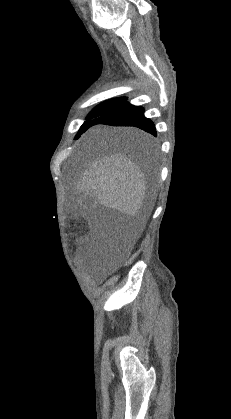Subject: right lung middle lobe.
I'll return each instance as SVG.
<instances>
[{
    "mask_svg": "<svg viewBox=\"0 0 231 419\" xmlns=\"http://www.w3.org/2000/svg\"><path fill=\"white\" fill-rule=\"evenodd\" d=\"M127 100L125 97L111 99L108 101L103 102L102 104L98 105L96 108H94L91 113L87 116V121L83 123L81 126L78 134L76 135L75 139L79 138L82 133H84L88 128L94 125V123L97 121V119L105 114L106 112L110 111L116 106H119L120 104L124 103ZM125 142L130 141L131 146L133 147H146L149 146V143L145 141H136V140H129L124 139Z\"/></svg>",
    "mask_w": 231,
    "mask_h": 419,
    "instance_id": "dd1d6c3e",
    "label": "right lung middle lobe"
}]
</instances>
